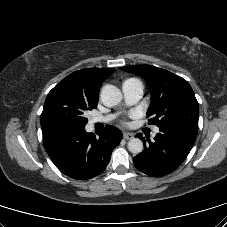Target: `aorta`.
Instances as JSON below:
<instances>
[{
    "label": "aorta",
    "mask_w": 227,
    "mask_h": 227,
    "mask_svg": "<svg viewBox=\"0 0 227 227\" xmlns=\"http://www.w3.org/2000/svg\"><path fill=\"white\" fill-rule=\"evenodd\" d=\"M101 100L107 107H113L122 100L121 91L114 85H105L101 90ZM128 150L139 154L143 151V142L139 138H132L128 142Z\"/></svg>",
    "instance_id": "1"
}]
</instances>
